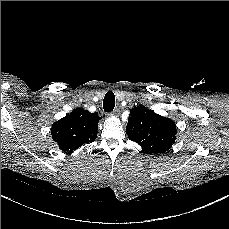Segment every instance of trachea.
Returning <instances> with one entry per match:
<instances>
[{
	"label": "trachea",
	"mask_w": 229,
	"mask_h": 229,
	"mask_svg": "<svg viewBox=\"0 0 229 229\" xmlns=\"http://www.w3.org/2000/svg\"><path fill=\"white\" fill-rule=\"evenodd\" d=\"M114 107H115V95L112 91H108L105 94L103 100V109L105 112H111L113 111Z\"/></svg>",
	"instance_id": "1"
}]
</instances>
